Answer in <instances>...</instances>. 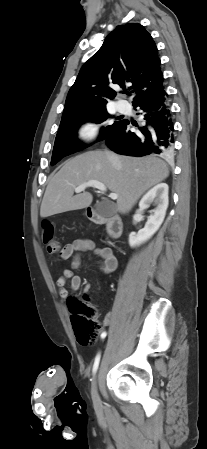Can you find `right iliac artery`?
Returning <instances> with one entry per match:
<instances>
[{
    "label": "right iliac artery",
    "instance_id": "right-iliac-artery-1",
    "mask_svg": "<svg viewBox=\"0 0 207 449\" xmlns=\"http://www.w3.org/2000/svg\"><path fill=\"white\" fill-rule=\"evenodd\" d=\"M106 335H107V333H106V332H103V333L101 334V338L104 339V338L106 337ZM99 362H100V354H98V355L96 356V358H95V362H94V365H93V373H95V372L97 371L98 366H99Z\"/></svg>",
    "mask_w": 207,
    "mask_h": 449
}]
</instances>
